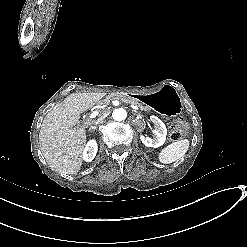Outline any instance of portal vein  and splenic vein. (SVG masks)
I'll list each match as a JSON object with an SVG mask.
<instances>
[{"mask_svg": "<svg viewBox=\"0 0 247 247\" xmlns=\"http://www.w3.org/2000/svg\"><path fill=\"white\" fill-rule=\"evenodd\" d=\"M130 108H132L134 110H139V107L133 106V105H130ZM101 112H102V109L91 111L89 113V118H96L99 115V113H101Z\"/></svg>", "mask_w": 247, "mask_h": 247, "instance_id": "1", "label": "portal vein and splenic vein"}]
</instances>
